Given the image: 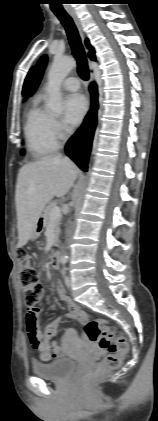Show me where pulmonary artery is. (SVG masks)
Returning <instances> with one entry per match:
<instances>
[{
    "label": "pulmonary artery",
    "instance_id": "obj_1",
    "mask_svg": "<svg viewBox=\"0 0 158 421\" xmlns=\"http://www.w3.org/2000/svg\"><path fill=\"white\" fill-rule=\"evenodd\" d=\"M62 87L67 91H77L80 83L76 77H68L62 82Z\"/></svg>",
    "mask_w": 158,
    "mask_h": 421
}]
</instances>
